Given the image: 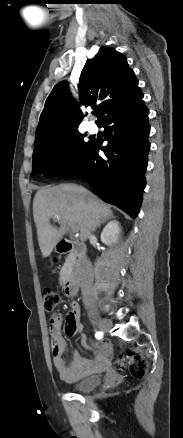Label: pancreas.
<instances>
[{
  "label": "pancreas",
  "mask_w": 183,
  "mask_h": 438,
  "mask_svg": "<svg viewBox=\"0 0 183 438\" xmlns=\"http://www.w3.org/2000/svg\"><path fill=\"white\" fill-rule=\"evenodd\" d=\"M67 261L70 262V264H71V261H72L71 256H69L67 258ZM68 271H69V267L67 264H65V266L61 269V272H60V281H63L66 278V273Z\"/></svg>",
  "instance_id": "pancreas-1"
}]
</instances>
